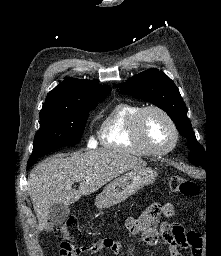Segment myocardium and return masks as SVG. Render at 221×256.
Instances as JSON below:
<instances>
[{"label": "myocardium", "instance_id": "f54148a6", "mask_svg": "<svg viewBox=\"0 0 221 256\" xmlns=\"http://www.w3.org/2000/svg\"><path fill=\"white\" fill-rule=\"evenodd\" d=\"M152 111L161 114L166 119L173 133V140L171 144L162 149H157L152 147L146 141L143 135L142 126H143L144 117L148 112H152ZM132 137L135 140V142L138 143L140 146H142L149 154L165 155L171 152L177 146L179 141V131L174 119L170 116V114L166 110L156 105H149L146 107H142L139 110V112L136 114L132 124Z\"/></svg>", "mask_w": 221, "mask_h": 256}]
</instances>
